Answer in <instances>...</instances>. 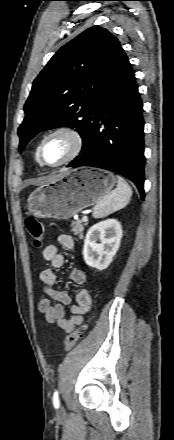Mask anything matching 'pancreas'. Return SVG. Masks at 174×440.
I'll return each mask as SVG.
<instances>
[{"mask_svg":"<svg viewBox=\"0 0 174 440\" xmlns=\"http://www.w3.org/2000/svg\"><path fill=\"white\" fill-rule=\"evenodd\" d=\"M86 225L87 224L83 223L81 220L72 221L71 231L74 233V235H77L80 239H83L84 226Z\"/></svg>","mask_w":174,"mask_h":440,"instance_id":"pancreas-1","label":"pancreas"}]
</instances>
